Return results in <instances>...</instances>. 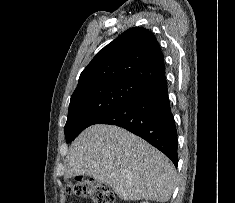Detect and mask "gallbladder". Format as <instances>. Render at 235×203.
<instances>
[{"label":"gallbladder","instance_id":"1","mask_svg":"<svg viewBox=\"0 0 235 203\" xmlns=\"http://www.w3.org/2000/svg\"><path fill=\"white\" fill-rule=\"evenodd\" d=\"M94 183V182H93ZM96 185H104V180H96L95 181Z\"/></svg>","mask_w":235,"mask_h":203}]
</instances>
